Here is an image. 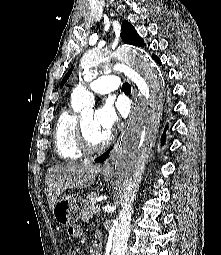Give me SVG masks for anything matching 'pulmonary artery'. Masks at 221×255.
Masks as SVG:
<instances>
[{"label":"pulmonary artery","mask_w":221,"mask_h":255,"mask_svg":"<svg viewBox=\"0 0 221 255\" xmlns=\"http://www.w3.org/2000/svg\"><path fill=\"white\" fill-rule=\"evenodd\" d=\"M118 87V78L112 74L100 76L88 83V88L98 94H108Z\"/></svg>","instance_id":"e3ab8cb5"}]
</instances>
